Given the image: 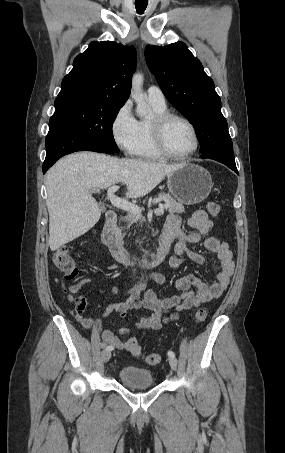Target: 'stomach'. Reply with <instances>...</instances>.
<instances>
[{"label": "stomach", "mask_w": 285, "mask_h": 453, "mask_svg": "<svg viewBox=\"0 0 285 453\" xmlns=\"http://www.w3.org/2000/svg\"><path fill=\"white\" fill-rule=\"evenodd\" d=\"M167 186L169 192L180 203L194 205L209 196L213 182L205 168L192 163H183L168 174Z\"/></svg>", "instance_id": "1"}]
</instances>
